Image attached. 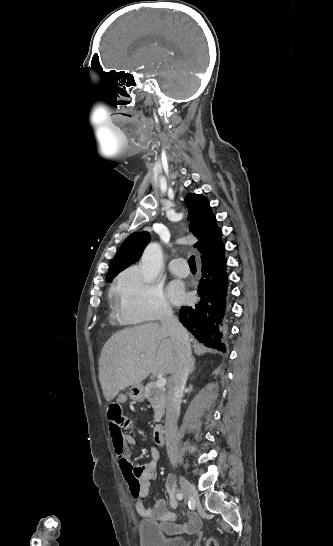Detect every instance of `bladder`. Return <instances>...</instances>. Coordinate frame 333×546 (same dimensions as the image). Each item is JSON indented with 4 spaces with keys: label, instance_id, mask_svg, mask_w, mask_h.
<instances>
[{
    "label": "bladder",
    "instance_id": "31cf9c89",
    "mask_svg": "<svg viewBox=\"0 0 333 546\" xmlns=\"http://www.w3.org/2000/svg\"><path fill=\"white\" fill-rule=\"evenodd\" d=\"M138 534L141 546H188L185 537L166 536L161 525L152 520L141 521Z\"/></svg>",
    "mask_w": 333,
    "mask_h": 546
}]
</instances>
